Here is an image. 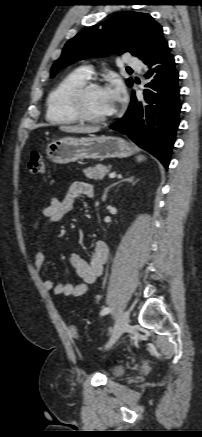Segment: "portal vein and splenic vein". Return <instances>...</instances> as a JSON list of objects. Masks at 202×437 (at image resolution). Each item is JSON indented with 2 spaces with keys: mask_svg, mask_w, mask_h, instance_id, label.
<instances>
[{
  "mask_svg": "<svg viewBox=\"0 0 202 437\" xmlns=\"http://www.w3.org/2000/svg\"><path fill=\"white\" fill-rule=\"evenodd\" d=\"M109 177H110V178H115V177H116V174H115L114 172H113V173H110V174H109Z\"/></svg>",
  "mask_w": 202,
  "mask_h": 437,
  "instance_id": "18ae733b",
  "label": "portal vein and splenic vein"
}]
</instances>
